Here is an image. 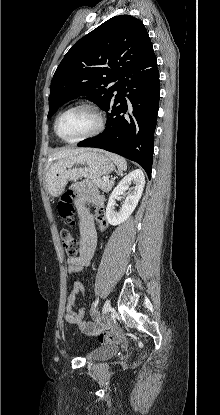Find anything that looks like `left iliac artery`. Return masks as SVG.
<instances>
[{
    "label": "left iliac artery",
    "mask_w": 220,
    "mask_h": 415,
    "mask_svg": "<svg viewBox=\"0 0 220 415\" xmlns=\"http://www.w3.org/2000/svg\"><path fill=\"white\" fill-rule=\"evenodd\" d=\"M98 301H99V299H96L94 302H93V304H92V306H91V312H95V310H96V308H97V305H98ZM105 312L102 310V314H104Z\"/></svg>",
    "instance_id": "44dca946"
}]
</instances>
